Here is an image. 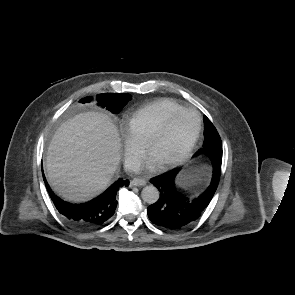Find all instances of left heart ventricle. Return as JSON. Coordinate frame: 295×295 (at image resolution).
Instances as JSON below:
<instances>
[{"mask_svg": "<svg viewBox=\"0 0 295 295\" xmlns=\"http://www.w3.org/2000/svg\"><path fill=\"white\" fill-rule=\"evenodd\" d=\"M195 130V117L178 116L161 140L153 147L151 159L160 165L177 157L186 147Z\"/></svg>", "mask_w": 295, "mask_h": 295, "instance_id": "left-heart-ventricle-1", "label": "left heart ventricle"}]
</instances>
